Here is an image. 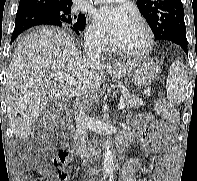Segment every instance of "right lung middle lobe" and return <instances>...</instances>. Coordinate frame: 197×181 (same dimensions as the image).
<instances>
[{
	"label": "right lung middle lobe",
	"instance_id": "right-lung-middle-lobe-1",
	"mask_svg": "<svg viewBox=\"0 0 197 181\" xmlns=\"http://www.w3.org/2000/svg\"><path fill=\"white\" fill-rule=\"evenodd\" d=\"M38 7L43 8L50 14L57 17L64 25L72 26L75 29L83 30L86 24V17L83 14L77 16L71 15V5L61 6L54 4H40Z\"/></svg>",
	"mask_w": 197,
	"mask_h": 181
}]
</instances>
